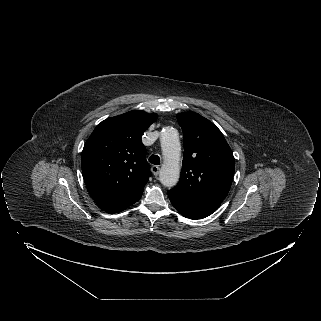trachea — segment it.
I'll return each mask as SVG.
<instances>
[{
    "label": "trachea",
    "instance_id": "1",
    "mask_svg": "<svg viewBox=\"0 0 321 321\" xmlns=\"http://www.w3.org/2000/svg\"><path fill=\"white\" fill-rule=\"evenodd\" d=\"M149 162L154 164V165H159L160 164V157L158 155H152L149 158Z\"/></svg>",
    "mask_w": 321,
    "mask_h": 321
}]
</instances>
